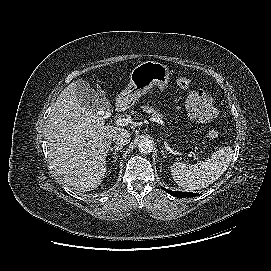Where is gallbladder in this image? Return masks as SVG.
I'll use <instances>...</instances> for the list:
<instances>
[{"mask_svg": "<svg viewBox=\"0 0 271 271\" xmlns=\"http://www.w3.org/2000/svg\"><path fill=\"white\" fill-rule=\"evenodd\" d=\"M75 92L78 102L89 110L99 112L105 117L112 112L113 108L109 100L99 91L91 88L85 80L76 81Z\"/></svg>", "mask_w": 271, "mask_h": 271, "instance_id": "1", "label": "gallbladder"}]
</instances>
